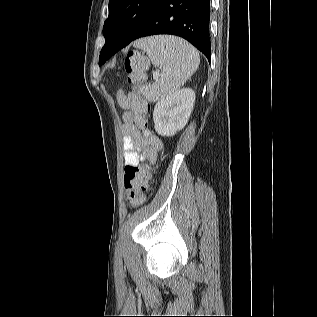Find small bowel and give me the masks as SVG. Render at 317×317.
<instances>
[{
  "instance_id": "small-bowel-1",
  "label": "small bowel",
  "mask_w": 317,
  "mask_h": 317,
  "mask_svg": "<svg viewBox=\"0 0 317 317\" xmlns=\"http://www.w3.org/2000/svg\"><path fill=\"white\" fill-rule=\"evenodd\" d=\"M117 102L124 110L122 131L124 134V164L138 166L140 161L155 162L163 147L162 140L139 124L143 111L148 104L134 93L124 90L117 92Z\"/></svg>"
}]
</instances>
